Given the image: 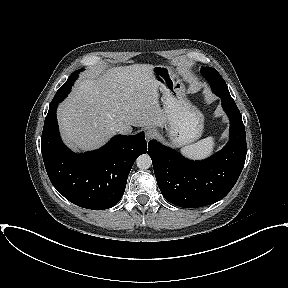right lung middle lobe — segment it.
Listing matches in <instances>:
<instances>
[{"label": "right lung middle lobe", "mask_w": 288, "mask_h": 288, "mask_svg": "<svg viewBox=\"0 0 288 288\" xmlns=\"http://www.w3.org/2000/svg\"><path fill=\"white\" fill-rule=\"evenodd\" d=\"M78 77V71L73 72L68 78L67 82L57 91L51 104L60 103L70 92L72 85Z\"/></svg>", "instance_id": "dd1d6c3e"}]
</instances>
